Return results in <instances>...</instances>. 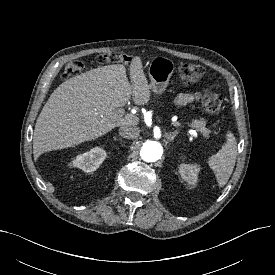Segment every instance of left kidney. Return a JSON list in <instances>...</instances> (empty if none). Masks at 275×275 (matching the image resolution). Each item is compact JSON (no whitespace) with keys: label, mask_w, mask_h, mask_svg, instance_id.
Instances as JSON below:
<instances>
[{"label":"left kidney","mask_w":275,"mask_h":275,"mask_svg":"<svg viewBox=\"0 0 275 275\" xmlns=\"http://www.w3.org/2000/svg\"><path fill=\"white\" fill-rule=\"evenodd\" d=\"M200 171V167L197 164H185L179 165V173L184 181L189 185H195L197 183V176Z\"/></svg>","instance_id":"1"}]
</instances>
